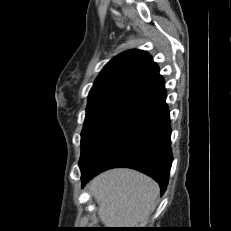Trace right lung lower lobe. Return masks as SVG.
Listing matches in <instances>:
<instances>
[{
    "label": "right lung lower lobe",
    "mask_w": 231,
    "mask_h": 231,
    "mask_svg": "<svg viewBox=\"0 0 231 231\" xmlns=\"http://www.w3.org/2000/svg\"><path fill=\"white\" fill-rule=\"evenodd\" d=\"M165 99L155 102L116 130L81 167L82 187L96 174L127 167L152 177L163 195L172 163L170 119Z\"/></svg>",
    "instance_id": "right-lung-lower-lobe-1"
}]
</instances>
